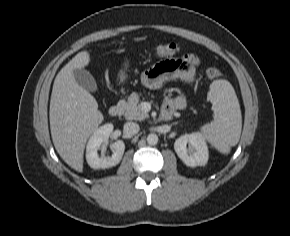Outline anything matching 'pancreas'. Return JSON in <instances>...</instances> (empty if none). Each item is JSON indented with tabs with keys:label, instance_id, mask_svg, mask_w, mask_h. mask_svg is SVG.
I'll use <instances>...</instances> for the list:
<instances>
[{
	"label": "pancreas",
	"instance_id": "obj_1",
	"mask_svg": "<svg viewBox=\"0 0 290 236\" xmlns=\"http://www.w3.org/2000/svg\"><path fill=\"white\" fill-rule=\"evenodd\" d=\"M140 98L137 93H132L127 101L121 100L119 105L123 108V114L127 120H144L149 117L139 104ZM196 112L194 109H192Z\"/></svg>",
	"mask_w": 290,
	"mask_h": 236
}]
</instances>
